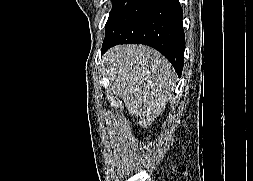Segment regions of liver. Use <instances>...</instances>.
Returning <instances> with one entry per match:
<instances>
[{
	"label": "liver",
	"instance_id": "1",
	"mask_svg": "<svg viewBox=\"0 0 253 181\" xmlns=\"http://www.w3.org/2000/svg\"><path fill=\"white\" fill-rule=\"evenodd\" d=\"M103 63L113 94L122 98L129 114L143 117L140 125L150 126L173 91L176 74L172 65L158 51L143 45L113 47Z\"/></svg>",
	"mask_w": 253,
	"mask_h": 181
}]
</instances>
